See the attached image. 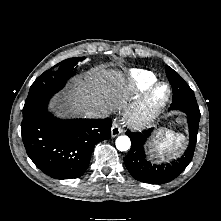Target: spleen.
I'll return each mask as SVG.
<instances>
[{
    "label": "spleen",
    "instance_id": "1",
    "mask_svg": "<svg viewBox=\"0 0 221 221\" xmlns=\"http://www.w3.org/2000/svg\"><path fill=\"white\" fill-rule=\"evenodd\" d=\"M185 136L174 134L172 131L159 130L156 136L150 142V153L156 152L161 158L165 155L179 156L180 150L183 149Z\"/></svg>",
    "mask_w": 221,
    "mask_h": 221
}]
</instances>
